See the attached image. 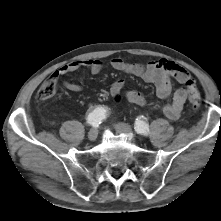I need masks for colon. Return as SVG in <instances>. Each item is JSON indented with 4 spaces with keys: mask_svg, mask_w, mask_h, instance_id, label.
<instances>
[{
    "mask_svg": "<svg viewBox=\"0 0 221 221\" xmlns=\"http://www.w3.org/2000/svg\"><path fill=\"white\" fill-rule=\"evenodd\" d=\"M186 88L188 90L189 102L193 109L197 110L200 108L202 100L197 92L194 82L192 80H187L185 82ZM57 90V79L54 77L47 78L38 88L36 93V99L38 101H44L51 98ZM116 102L121 100V94L114 96Z\"/></svg>",
    "mask_w": 221,
    "mask_h": 221,
    "instance_id": "colon-1",
    "label": "colon"
}]
</instances>
